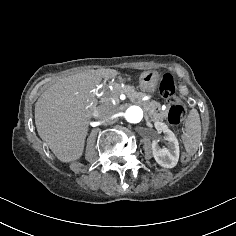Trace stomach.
Returning <instances> with one entry per match:
<instances>
[{"label":"stomach","mask_w":236,"mask_h":236,"mask_svg":"<svg viewBox=\"0 0 236 236\" xmlns=\"http://www.w3.org/2000/svg\"><path fill=\"white\" fill-rule=\"evenodd\" d=\"M159 74L156 70L145 71L140 76V88L148 93H154L159 84Z\"/></svg>","instance_id":"1"}]
</instances>
